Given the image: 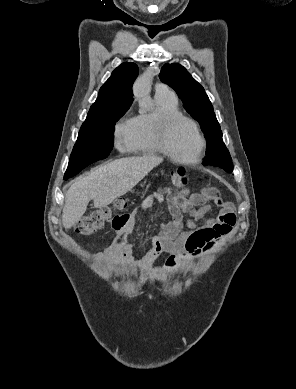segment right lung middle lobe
Returning a JSON list of instances; mask_svg holds the SVG:
<instances>
[{
  "instance_id": "obj_1",
  "label": "right lung middle lobe",
  "mask_w": 296,
  "mask_h": 389,
  "mask_svg": "<svg viewBox=\"0 0 296 389\" xmlns=\"http://www.w3.org/2000/svg\"><path fill=\"white\" fill-rule=\"evenodd\" d=\"M128 108H116L85 120L79 131L66 172L82 170L91 163L108 157L113 148L115 123Z\"/></svg>"
}]
</instances>
